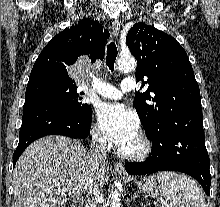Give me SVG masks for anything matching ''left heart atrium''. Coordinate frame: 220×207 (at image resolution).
<instances>
[{"mask_svg": "<svg viewBox=\"0 0 220 207\" xmlns=\"http://www.w3.org/2000/svg\"><path fill=\"white\" fill-rule=\"evenodd\" d=\"M97 117L101 130L119 148L138 135L139 122L136 115L122 104L101 105Z\"/></svg>", "mask_w": 220, "mask_h": 207, "instance_id": "obj_1", "label": "left heart atrium"}]
</instances>
